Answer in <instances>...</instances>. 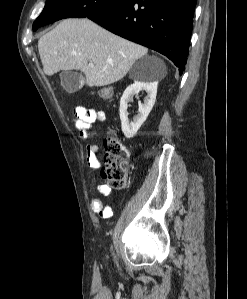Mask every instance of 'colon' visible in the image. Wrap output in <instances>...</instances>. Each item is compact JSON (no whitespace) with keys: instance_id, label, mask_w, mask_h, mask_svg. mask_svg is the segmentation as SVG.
<instances>
[{"instance_id":"1","label":"colon","mask_w":247,"mask_h":299,"mask_svg":"<svg viewBox=\"0 0 247 299\" xmlns=\"http://www.w3.org/2000/svg\"><path fill=\"white\" fill-rule=\"evenodd\" d=\"M95 94L103 100H111L113 89L103 87ZM104 167L101 170L102 177L108 181L114 189H123L127 184L128 149L115 134H109L104 140Z\"/></svg>"}]
</instances>
